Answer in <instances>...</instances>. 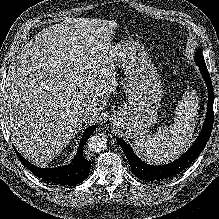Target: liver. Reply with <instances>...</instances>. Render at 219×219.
Wrapping results in <instances>:
<instances>
[{"label":"liver","mask_w":219,"mask_h":219,"mask_svg":"<svg viewBox=\"0 0 219 219\" xmlns=\"http://www.w3.org/2000/svg\"><path fill=\"white\" fill-rule=\"evenodd\" d=\"M116 22L67 18L43 29L10 66L3 95L11 140L29 161L43 165L75 137L80 111L98 114L117 86L111 33Z\"/></svg>","instance_id":"6515ba94"}]
</instances>
